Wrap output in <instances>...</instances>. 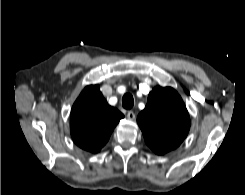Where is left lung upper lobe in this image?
<instances>
[{"label":"left lung upper lobe","mask_w":245,"mask_h":195,"mask_svg":"<svg viewBox=\"0 0 245 195\" xmlns=\"http://www.w3.org/2000/svg\"><path fill=\"white\" fill-rule=\"evenodd\" d=\"M146 144L158 155L177 148L190 129V117L180 95L171 87H155L137 117Z\"/></svg>","instance_id":"1"}]
</instances>
